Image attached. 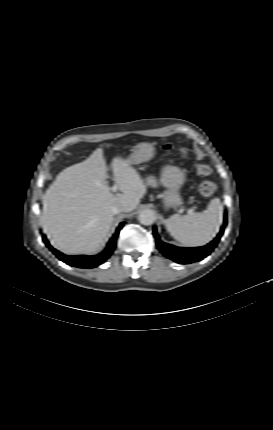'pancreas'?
<instances>
[{
	"mask_svg": "<svg viewBox=\"0 0 273 430\" xmlns=\"http://www.w3.org/2000/svg\"><path fill=\"white\" fill-rule=\"evenodd\" d=\"M146 184L150 187L156 188L158 187V180L155 176H148L146 178Z\"/></svg>",
	"mask_w": 273,
	"mask_h": 430,
	"instance_id": "pancreas-1",
	"label": "pancreas"
}]
</instances>
